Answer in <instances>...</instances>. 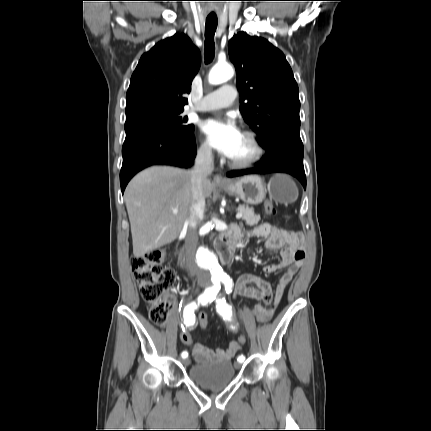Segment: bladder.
Returning <instances> with one entry per match:
<instances>
[{
	"mask_svg": "<svg viewBox=\"0 0 431 431\" xmlns=\"http://www.w3.org/2000/svg\"><path fill=\"white\" fill-rule=\"evenodd\" d=\"M189 378L205 389H222L232 383L236 369L231 361H213L197 363L190 367Z\"/></svg>",
	"mask_w": 431,
	"mask_h": 431,
	"instance_id": "31cf9c89",
	"label": "bladder"
}]
</instances>
